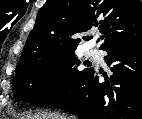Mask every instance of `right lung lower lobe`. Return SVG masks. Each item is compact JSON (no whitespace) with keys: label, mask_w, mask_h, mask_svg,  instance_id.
Returning <instances> with one entry per match:
<instances>
[{"label":"right lung lower lobe","mask_w":142,"mask_h":119,"mask_svg":"<svg viewBox=\"0 0 142 119\" xmlns=\"http://www.w3.org/2000/svg\"><path fill=\"white\" fill-rule=\"evenodd\" d=\"M110 82L92 69L65 99L52 104L80 119H142V37L105 49Z\"/></svg>","instance_id":"1"}]
</instances>
